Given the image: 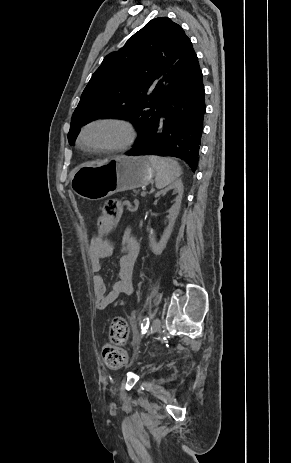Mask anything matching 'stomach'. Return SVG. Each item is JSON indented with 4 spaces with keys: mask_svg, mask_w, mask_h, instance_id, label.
Instances as JSON below:
<instances>
[{
    "mask_svg": "<svg viewBox=\"0 0 291 463\" xmlns=\"http://www.w3.org/2000/svg\"><path fill=\"white\" fill-rule=\"evenodd\" d=\"M154 174L147 157L120 156L79 165L72 171L70 186L82 198L100 200L116 192L146 186Z\"/></svg>",
    "mask_w": 291,
    "mask_h": 463,
    "instance_id": "stomach-1",
    "label": "stomach"
}]
</instances>
